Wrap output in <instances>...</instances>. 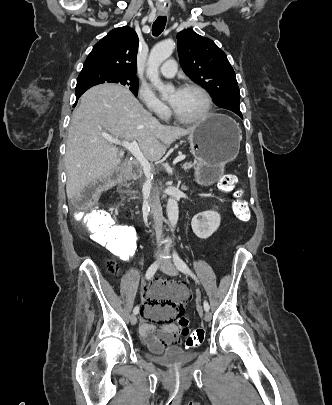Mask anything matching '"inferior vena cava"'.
<instances>
[{
	"label": "inferior vena cava",
	"mask_w": 332,
	"mask_h": 405,
	"mask_svg": "<svg viewBox=\"0 0 332 405\" xmlns=\"http://www.w3.org/2000/svg\"><path fill=\"white\" fill-rule=\"evenodd\" d=\"M149 202H150L151 213L153 215L156 229L159 231V230H161L162 223H163V213H162V208L157 199V193L154 189H153V195L149 199Z\"/></svg>",
	"instance_id": "inferior-vena-cava-1"
}]
</instances>
